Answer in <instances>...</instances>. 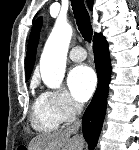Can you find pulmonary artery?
<instances>
[{
	"instance_id": "e3ab8cb5",
	"label": "pulmonary artery",
	"mask_w": 139,
	"mask_h": 150,
	"mask_svg": "<svg viewBox=\"0 0 139 150\" xmlns=\"http://www.w3.org/2000/svg\"><path fill=\"white\" fill-rule=\"evenodd\" d=\"M69 57L72 61L80 62L86 59L87 53L83 47L76 46L70 50Z\"/></svg>"
}]
</instances>
